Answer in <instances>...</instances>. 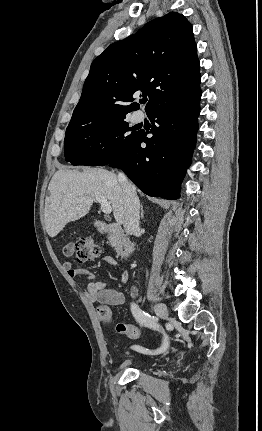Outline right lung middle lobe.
<instances>
[{
    "instance_id": "1",
    "label": "right lung middle lobe",
    "mask_w": 262,
    "mask_h": 431,
    "mask_svg": "<svg viewBox=\"0 0 262 431\" xmlns=\"http://www.w3.org/2000/svg\"><path fill=\"white\" fill-rule=\"evenodd\" d=\"M126 116L70 123L64 140L65 159L72 165L101 166L111 163L138 132L124 120Z\"/></svg>"
}]
</instances>
